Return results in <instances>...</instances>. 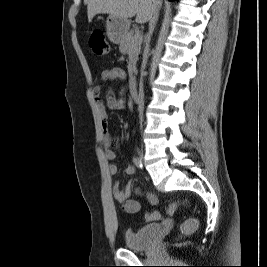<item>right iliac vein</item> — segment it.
Here are the masks:
<instances>
[{"label":"right iliac vein","instance_id":"obj_1","mask_svg":"<svg viewBox=\"0 0 267 267\" xmlns=\"http://www.w3.org/2000/svg\"><path fill=\"white\" fill-rule=\"evenodd\" d=\"M139 154H140V159H142V153H141V152H139Z\"/></svg>","mask_w":267,"mask_h":267}]
</instances>
